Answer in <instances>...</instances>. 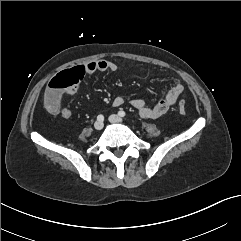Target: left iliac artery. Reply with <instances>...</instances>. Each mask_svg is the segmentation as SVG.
I'll return each mask as SVG.
<instances>
[{
	"instance_id": "44dca946",
	"label": "left iliac artery",
	"mask_w": 241,
	"mask_h": 241,
	"mask_svg": "<svg viewBox=\"0 0 241 241\" xmlns=\"http://www.w3.org/2000/svg\"><path fill=\"white\" fill-rule=\"evenodd\" d=\"M118 115L121 116V117H124L126 115V113L123 110H120L118 112Z\"/></svg>"
}]
</instances>
